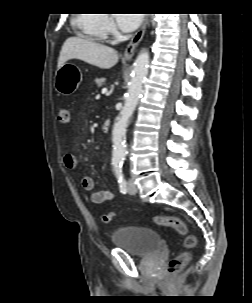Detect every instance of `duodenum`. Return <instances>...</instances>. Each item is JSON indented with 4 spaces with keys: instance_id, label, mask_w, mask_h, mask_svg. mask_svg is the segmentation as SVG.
<instances>
[{
    "instance_id": "duodenum-1",
    "label": "duodenum",
    "mask_w": 252,
    "mask_h": 303,
    "mask_svg": "<svg viewBox=\"0 0 252 303\" xmlns=\"http://www.w3.org/2000/svg\"><path fill=\"white\" fill-rule=\"evenodd\" d=\"M110 124H111V121L109 119H106L103 124L101 125V130L102 132H107L110 128Z\"/></svg>"
}]
</instances>
